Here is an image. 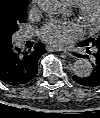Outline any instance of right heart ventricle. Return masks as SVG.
<instances>
[{
  "instance_id": "1",
  "label": "right heart ventricle",
  "mask_w": 100,
  "mask_h": 118,
  "mask_svg": "<svg viewBox=\"0 0 100 118\" xmlns=\"http://www.w3.org/2000/svg\"><path fill=\"white\" fill-rule=\"evenodd\" d=\"M70 5H77L81 0H66Z\"/></svg>"
}]
</instances>
